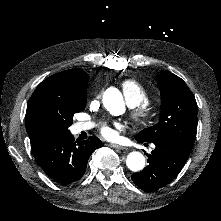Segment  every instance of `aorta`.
I'll use <instances>...</instances> for the list:
<instances>
[{
  "label": "aorta",
  "mask_w": 221,
  "mask_h": 221,
  "mask_svg": "<svg viewBox=\"0 0 221 221\" xmlns=\"http://www.w3.org/2000/svg\"><path fill=\"white\" fill-rule=\"evenodd\" d=\"M109 105L111 109L114 110L120 108L122 106V102L120 98H116V100L112 101ZM126 165L131 171L139 172L145 166V157L140 152H131L126 158Z\"/></svg>",
  "instance_id": "aorta-1"
}]
</instances>
